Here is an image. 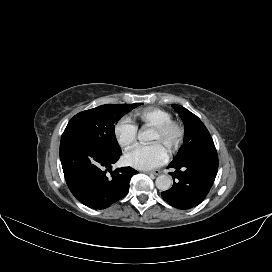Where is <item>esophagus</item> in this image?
I'll list each match as a JSON object with an SVG mask.
<instances>
[{
	"label": "esophagus",
	"mask_w": 272,
	"mask_h": 272,
	"mask_svg": "<svg viewBox=\"0 0 272 272\" xmlns=\"http://www.w3.org/2000/svg\"><path fill=\"white\" fill-rule=\"evenodd\" d=\"M146 174H152V175H159V174H161V171H159V170H155V171H149V172H146Z\"/></svg>",
	"instance_id": "esophagus-1"
}]
</instances>
